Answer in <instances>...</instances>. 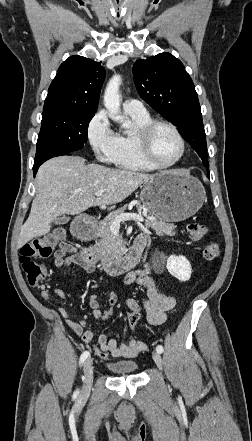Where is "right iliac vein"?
Segmentation results:
<instances>
[{
  "label": "right iliac vein",
  "instance_id": "63e3f726",
  "mask_svg": "<svg viewBox=\"0 0 252 441\" xmlns=\"http://www.w3.org/2000/svg\"><path fill=\"white\" fill-rule=\"evenodd\" d=\"M83 371H84V383H83L82 392L80 394L81 399L86 398L91 391V387L93 383V367H92L91 359H88L84 363Z\"/></svg>",
  "mask_w": 252,
  "mask_h": 441
}]
</instances>
